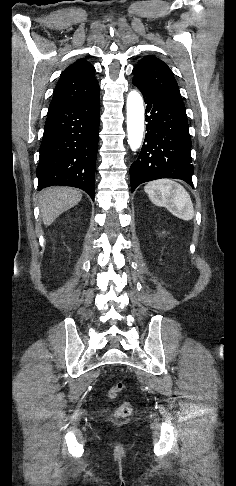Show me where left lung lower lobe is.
I'll return each instance as SVG.
<instances>
[{
  "mask_svg": "<svg viewBox=\"0 0 236 486\" xmlns=\"http://www.w3.org/2000/svg\"><path fill=\"white\" fill-rule=\"evenodd\" d=\"M146 106V136L137 160L131 165V190L144 182L175 178L193 187L194 167L185 108L156 93L138 80Z\"/></svg>",
  "mask_w": 236,
  "mask_h": 486,
  "instance_id": "1",
  "label": "left lung lower lobe"
}]
</instances>
